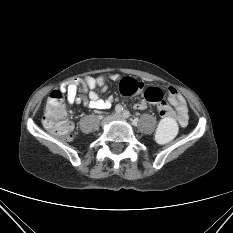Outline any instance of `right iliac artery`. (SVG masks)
Here are the masks:
<instances>
[{
	"instance_id": "1",
	"label": "right iliac artery",
	"mask_w": 233,
	"mask_h": 233,
	"mask_svg": "<svg viewBox=\"0 0 233 233\" xmlns=\"http://www.w3.org/2000/svg\"><path fill=\"white\" fill-rule=\"evenodd\" d=\"M115 111H116L117 114H120L123 111V107L121 105H117L115 107Z\"/></svg>"
}]
</instances>
